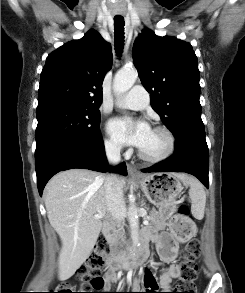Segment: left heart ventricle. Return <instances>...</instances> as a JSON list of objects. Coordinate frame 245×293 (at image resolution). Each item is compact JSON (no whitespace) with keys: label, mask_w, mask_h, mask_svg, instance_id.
I'll use <instances>...</instances> for the list:
<instances>
[{"label":"left heart ventricle","mask_w":245,"mask_h":293,"mask_svg":"<svg viewBox=\"0 0 245 293\" xmlns=\"http://www.w3.org/2000/svg\"><path fill=\"white\" fill-rule=\"evenodd\" d=\"M167 148V138L159 131L152 130L149 138L141 149L143 153L149 156H158Z\"/></svg>","instance_id":"b2bd125f"}]
</instances>
